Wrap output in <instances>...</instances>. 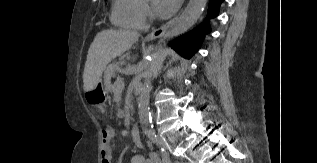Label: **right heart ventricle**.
<instances>
[{"instance_id": "1", "label": "right heart ventricle", "mask_w": 317, "mask_h": 163, "mask_svg": "<svg viewBox=\"0 0 317 163\" xmlns=\"http://www.w3.org/2000/svg\"><path fill=\"white\" fill-rule=\"evenodd\" d=\"M144 3V0H113L112 23L126 29H144L146 26L143 15Z\"/></svg>"}]
</instances>
